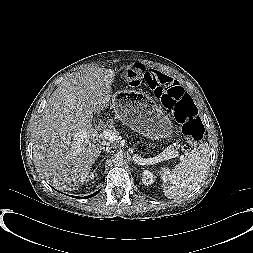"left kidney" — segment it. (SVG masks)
<instances>
[{"label":"left kidney","instance_id":"5707ae66","mask_svg":"<svg viewBox=\"0 0 253 253\" xmlns=\"http://www.w3.org/2000/svg\"><path fill=\"white\" fill-rule=\"evenodd\" d=\"M154 178L155 176L152 172H150L149 170H145L142 175V182L148 186L154 182Z\"/></svg>","mask_w":253,"mask_h":253}]
</instances>
